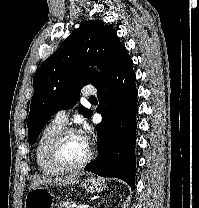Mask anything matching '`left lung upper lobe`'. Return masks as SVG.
Here are the masks:
<instances>
[{"label": "left lung upper lobe", "mask_w": 199, "mask_h": 208, "mask_svg": "<svg viewBox=\"0 0 199 208\" xmlns=\"http://www.w3.org/2000/svg\"><path fill=\"white\" fill-rule=\"evenodd\" d=\"M112 26L102 21H84L37 70L34 94L28 116V141L33 143L50 117L69 109L77 102L80 90L87 84L97 87L128 57ZM97 65L98 73L87 68ZM84 116L91 110L80 107Z\"/></svg>", "instance_id": "1"}]
</instances>
